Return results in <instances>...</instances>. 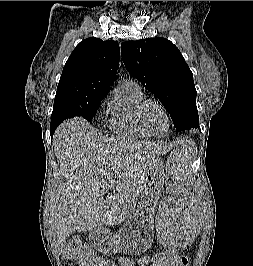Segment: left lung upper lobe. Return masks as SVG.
Returning <instances> with one entry per match:
<instances>
[{
  "instance_id": "1",
  "label": "left lung upper lobe",
  "mask_w": 253,
  "mask_h": 266,
  "mask_svg": "<svg viewBox=\"0 0 253 266\" xmlns=\"http://www.w3.org/2000/svg\"><path fill=\"white\" fill-rule=\"evenodd\" d=\"M121 54L127 71L159 99L177 130L198 127L193 74L171 41L165 38L126 41L121 45Z\"/></svg>"
}]
</instances>
